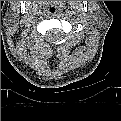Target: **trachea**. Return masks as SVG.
Returning a JSON list of instances; mask_svg holds the SVG:
<instances>
[{"label": "trachea", "instance_id": "trachea-1", "mask_svg": "<svg viewBox=\"0 0 121 121\" xmlns=\"http://www.w3.org/2000/svg\"><path fill=\"white\" fill-rule=\"evenodd\" d=\"M48 11L50 14L55 15L58 13L59 8L55 3H51L48 7Z\"/></svg>", "mask_w": 121, "mask_h": 121}]
</instances>
